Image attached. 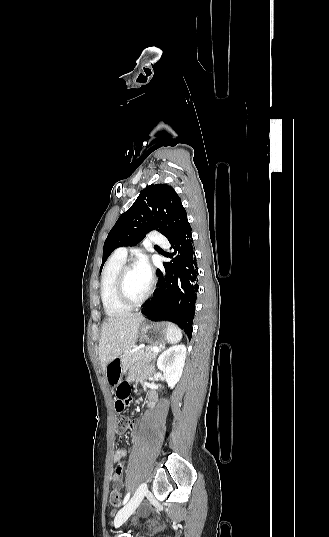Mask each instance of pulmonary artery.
<instances>
[{
    "instance_id": "pulmonary-artery-1",
    "label": "pulmonary artery",
    "mask_w": 329,
    "mask_h": 537,
    "mask_svg": "<svg viewBox=\"0 0 329 537\" xmlns=\"http://www.w3.org/2000/svg\"><path fill=\"white\" fill-rule=\"evenodd\" d=\"M149 240L151 243L153 244H156V245H160V246H168V240L162 236L161 234L159 233H151L150 237H149ZM114 255L121 258V259H126L127 257V248L126 247H120V248H117L114 252Z\"/></svg>"
}]
</instances>
